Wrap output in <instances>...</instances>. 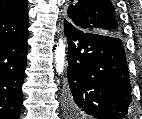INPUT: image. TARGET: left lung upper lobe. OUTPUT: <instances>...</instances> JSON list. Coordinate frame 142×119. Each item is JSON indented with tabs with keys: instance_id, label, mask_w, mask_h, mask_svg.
<instances>
[{
	"instance_id": "1",
	"label": "left lung upper lobe",
	"mask_w": 142,
	"mask_h": 119,
	"mask_svg": "<svg viewBox=\"0 0 142 119\" xmlns=\"http://www.w3.org/2000/svg\"><path fill=\"white\" fill-rule=\"evenodd\" d=\"M68 18L76 28L89 33L119 37L121 29L110 0H72Z\"/></svg>"
}]
</instances>
